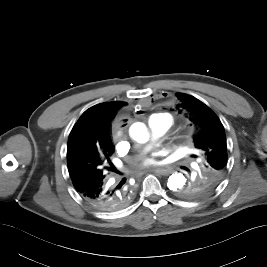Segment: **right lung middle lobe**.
<instances>
[{
	"label": "right lung middle lobe",
	"instance_id": "dd1d6c3e",
	"mask_svg": "<svg viewBox=\"0 0 267 267\" xmlns=\"http://www.w3.org/2000/svg\"><path fill=\"white\" fill-rule=\"evenodd\" d=\"M114 149L92 150L81 157H68V170L73 185L78 186L93 180L103 179L113 171L110 156Z\"/></svg>",
	"mask_w": 267,
	"mask_h": 267
}]
</instances>
